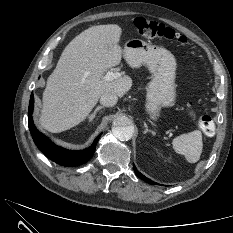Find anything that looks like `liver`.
Masks as SVG:
<instances>
[{"label": "liver", "instance_id": "obj_1", "mask_svg": "<svg viewBox=\"0 0 233 233\" xmlns=\"http://www.w3.org/2000/svg\"><path fill=\"white\" fill-rule=\"evenodd\" d=\"M122 29L97 25L77 35L63 50L43 93L41 126L49 132L68 130L86 119L105 92L123 97L132 86L128 76L105 80V72L120 64Z\"/></svg>", "mask_w": 233, "mask_h": 233}]
</instances>
